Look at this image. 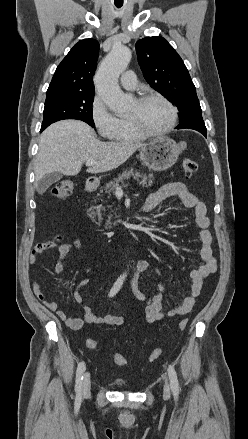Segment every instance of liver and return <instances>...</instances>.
<instances>
[{
	"label": "liver",
	"mask_w": 248,
	"mask_h": 439,
	"mask_svg": "<svg viewBox=\"0 0 248 439\" xmlns=\"http://www.w3.org/2000/svg\"><path fill=\"white\" fill-rule=\"evenodd\" d=\"M144 144L134 142H101L95 131L80 120L58 121L43 131L35 164V186L47 174L59 172L77 175L82 163L95 160L89 173L116 169Z\"/></svg>",
	"instance_id": "1"
}]
</instances>
